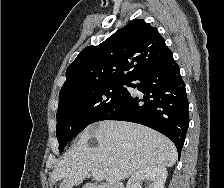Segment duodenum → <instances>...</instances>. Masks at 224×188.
<instances>
[{
  "instance_id": "duodenum-1",
  "label": "duodenum",
  "mask_w": 224,
  "mask_h": 188,
  "mask_svg": "<svg viewBox=\"0 0 224 188\" xmlns=\"http://www.w3.org/2000/svg\"><path fill=\"white\" fill-rule=\"evenodd\" d=\"M85 188H105V187L89 184V185H86Z\"/></svg>"
}]
</instances>
